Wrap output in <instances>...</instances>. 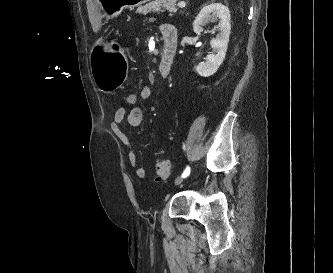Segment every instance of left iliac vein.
Here are the masks:
<instances>
[{"label": "left iliac vein", "mask_w": 333, "mask_h": 273, "mask_svg": "<svg viewBox=\"0 0 333 273\" xmlns=\"http://www.w3.org/2000/svg\"><path fill=\"white\" fill-rule=\"evenodd\" d=\"M183 178L182 177H179V178H177L175 181H174V185H179L180 183H182L183 182Z\"/></svg>", "instance_id": "left-iliac-vein-1"}]
</instances>
